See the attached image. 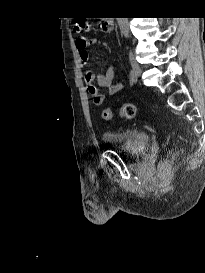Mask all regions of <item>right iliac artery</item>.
I'll list each match as a JSON object with an SVG mask.
<instances>
[{
    "instance_id": "right-iliac-artery-1",
    "label": "right iliac artery",
    "mask_w": 205,
    "mask_h": 273,
    "mask_svg": "<svg viewBox=\"0 0 205 273\" xmlns=\"http://www.w3.org/2000/svg\"><path fill=\"white\" fill-rule=\"evenodd\" d=\"M130 81L132 82V83H135L136 82V80H137V77H136V75L134 74V72L131 70L130 71Z\"/></svg>"
}]
</instances>
